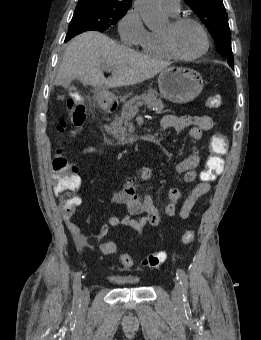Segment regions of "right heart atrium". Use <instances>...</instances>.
Returning <instances> with one entry per match:
<instances>
[{
    "label": "right heart atrium",
    "instance_id": "1",
    "mask_svg": "<svg viewBox=\"0 0 261 340\" xmlns=\"http://www.w3.org/2000/svg\"><path fill=\"white\" fill-rule=\"evenodd\" d=\"M118 31L121 40L129 45H139L147 30L135 7L130 8L119 20Z\"/></svg>",
    "mask_w": 261,
    "mask_h": 340
}]
</instances>
